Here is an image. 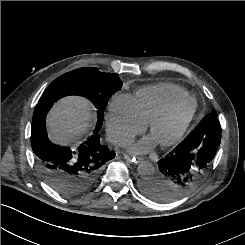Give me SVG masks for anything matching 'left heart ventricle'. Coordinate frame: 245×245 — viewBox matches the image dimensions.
I'll use <instances>...</instances> for the list:
<instances>
[{"label": "left heart ventricle", "instance_id": "left-heart-ventricle-1", "mask_svg": "<svg viewBox=\"0 0 245 245\" xmlns=\"http://www.w3.org/2000/svg\"><path fill=\"white\" fill-rule=\"evenodd\" d=\"M191 109L192 104H187L178 110L171 118L157 125L152 133V137L155 141L161 142L170 139L187 118Z\"/></svg>", "mask_w": 245, "mask_h": 245}]
</instances>
